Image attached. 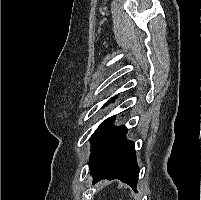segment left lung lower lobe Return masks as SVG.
Segmentation results:
<instances>
[{"instance_id":"obj_1","label":"left lung lower lobe","mask_w":201,"mask_h":200,"mask_svg":"<svg viewBox=\"0 0 201 200\" xmlns=\"http://www.w3.org/2000/svg\"><path fill=\"white\" fill-rule=\"evenodd\" d=\"M115 116L105 120L91 139L90 170L93 184L119 179L136 191L139 167L134 142L126 139L125 125L114 126Z\"/></svg>"}]
</instances>
